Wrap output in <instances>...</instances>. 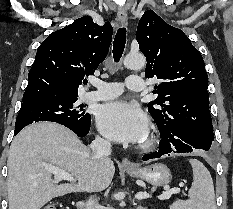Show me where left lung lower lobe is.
Listing matches in <instances>:
<instances>
[{
    "instance_id": "0a47b994",
    "label": "left lung lower lobe",
    "mask_w": 233,
    "mask_h": 209,
    "mask_svg": "<svg viewBox=\"0 0 233 209\" xmlns=\"http://www.w3.org/2000/svg\"><path fill=\"white\" fill-rule=\"evenodd\" d=\"M158 129L161 135L159 149L156 152L144 155L143 161L158 158L165 154L169 156L171 153L192 152L195 149L204 151L212 149L213 140L211 138L199 135L189 128L159 125Z\"/></svg>"
}]
</instances>
